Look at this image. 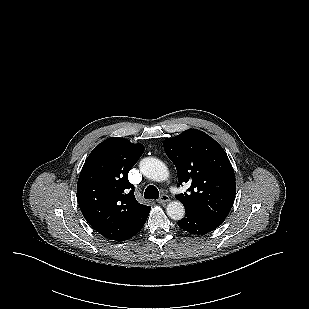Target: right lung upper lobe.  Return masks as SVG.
Masks as SVG:
<instances>
[{"mask_svg":"<svg viewBox=\"0 0 309 309\" xmlns=\"http://www.w3.org/2000/svg\"><path fill=\"white\" fill-rule=\"evenodd\" d=\"M144 152L142 144L108 138L88 156L77 183L87 222L105 238L124 241L144 225L151 207L138 203L128 172Z\"/></svg>","mask_w":309,"mask_h":309,"instance_id":"right-lung-upper-lobe-1","label":"right lung upper lobe"}]
</instances>
